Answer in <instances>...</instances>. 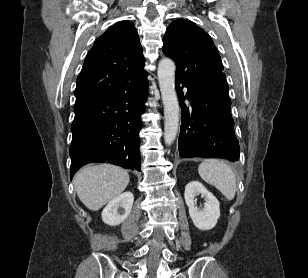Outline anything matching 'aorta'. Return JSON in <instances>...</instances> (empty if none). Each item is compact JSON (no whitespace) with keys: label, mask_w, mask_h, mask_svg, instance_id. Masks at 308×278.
I'll return each instance as SVG.
<instances>
[{"label":"aorta","mask_w":308,"mask_h":278,"mask_svg":"<svg viewBox=\"0 0 308 278\" xmlns=\"http://www.w3.org/2000/svg\"><path fill=\"white\" fill-rule=\"evenodd\" d=\"M175 63L164 58L158 65V81L164 105V141L166 145L175 140L179 125V102L175 90Z\"/></svg>","instance_id":"aorta-1"}]
</instances>
